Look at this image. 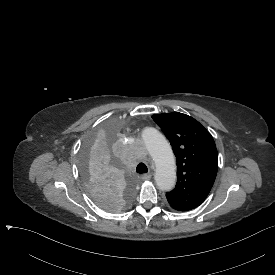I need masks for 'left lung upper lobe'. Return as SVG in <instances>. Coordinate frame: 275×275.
<instances>
[{
  "mask_svg": "<svg viewBox=\"0 0 275 275\" xmlns=\"http://www.w3.org/2000/svg\"><path fill=\"white\" fill-rule=\"evenodd\" d=\"M152 118L170 141L177 161V183L166 193L168 203L178 211L194 209L208 196L217 174L213 137L186 114H154Z\"/></svg>",
  "mask_w": 275,
  "mask_h": 275,
  "instance_id": "obj_1",
  "label": "left lung upper lobe"
}]
</instances>
